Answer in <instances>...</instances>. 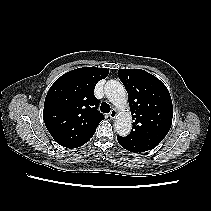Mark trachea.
<instances>
[{
  "mask_svg": "<svg viewBox=\"0 0 211 211\" xmlns=\"http://www.w3.org/2000/svg\"><path fill=\"white\" fill-rule=\"evenodd\" d=\"M100 110L103 113H109L110 112V106L106 102H103L100 106Z\"/></svg>",
  "mask_w": 211,
  "mask_h": 211,
  "instance_id": "1",
  "label": "trachea"
}]
</instances>
